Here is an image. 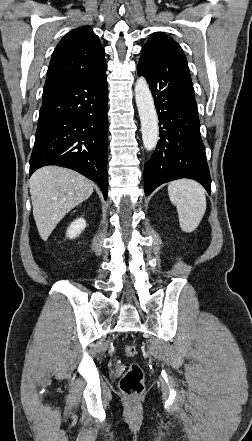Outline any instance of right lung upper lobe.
Segmentation results:
<instances>
[{"label":"right lung upper lobe","instance_id":"1","mask_svg":"<svg viewBox=\"0 0 252 441\" xmlns=\"http://www.w3.org/2000/svg\"><path fill=\"white\" fill-rule=\"evenodd\" d=\"M104 54V48L91 27L70 31L53 52L44 89L106 71Z\"/></svg>","mask_w":252,"mask_h":441}]
</instances>
